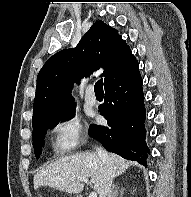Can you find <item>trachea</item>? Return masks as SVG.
I'll list each match as a JSON object with an SVG mask.
<instances>
[{
    "instance_id": "1",
    "label": "trachea",
    "mask_w": 191,
    "mask_h": 197,
    "mask_svg": "<svg viewBox=\"0 0 191 197\" xmlns=\"http://www.w3.org/2000/svg\"><path fill=\"white\" fill-rule=\"evenodd\" d=\"M94 92H95V94H104L102 79H100L99 81L96 82V84L94 86Z\"/></svg>"
}]
</instances>
